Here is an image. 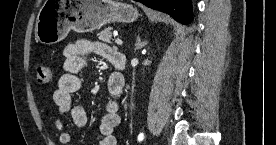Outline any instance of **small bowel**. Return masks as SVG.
Instances as JSON below:
<instances>
[{
  "label": "small bowel",
  "mask_w": 276,
  "mask_h": 145,
  "mask_svg": "<svg viewBox=\"0 0 276 145\" xmlns=\"http://www.w3.org/2000/svg\"><path fill=\"white\" fill-rule=\"evenodd\" d=\"M115 52L107 44L92 40H77L69 43L64 48L63 74L58 80V87L53 95L54 103L59 110V114L54 119V125L59 131L60 144L68 145L71 142V135L64 131L66 114L71 116L77 128H82L87 124V113L84 107L75 105L72 100V94L77 92L81 87L78 73L85 65V57L98 55L111 60ZM111 76L108 80V89L111 97L105 102L106 113L100 124L102 135L100 145H116L114 130L120 124L118 97L121 92L110 88L109 82Z\"/></svg>",
  "instance_id": "small-bowel-1"
}]
</instances>
